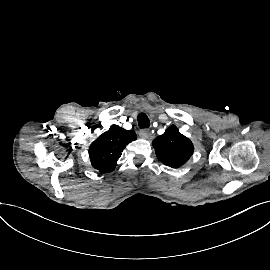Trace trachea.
I'll return each mask as SVG.
<instances>
[{"label": "trachea", "instance_id": "3493384b", "mask_svg": "<svg viewBox=\"0 0 270 270\" xmlns=\"http://www.w3.org/2000/svg\"><path fill=\"white\" fill-rule=\"evenodd\" d=\"M137 120L140 128H148L150 126V120L145 113H140Z\"/></svg>", "mask_w": 270, "mask_h": 270}]
</instances>
